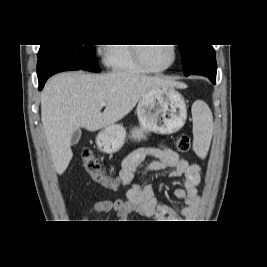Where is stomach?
I'll return each mask as SVG.
<instances>
[{
    "label": "stomach",
    "mask_w": 267,
    "mask_h": 267,
    "mask_svg": "<svg viewBox=\"0 0 267 267\" xmlns=\"http://www.w3.org/2000/svg\"><path fill=\"white\" fill-rule=\"evenodd\" d=\"M139 128L131 132L134 140L145 139L146 134H172L180 130L187 119L184 97L175 87H163L148 91L138 102ZM126 131L120 124L110 125L96 137L98 148L107 154L119 151L125 143Z\"/></svg>",
    "instance_id": "0dacf381"
}]
</instances>
